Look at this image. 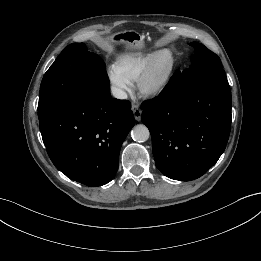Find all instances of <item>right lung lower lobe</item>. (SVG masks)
<instances>
[{
  "label": "right lung lower lobe",
  "mask_w": 261,
  "mask_h": 261,
  "mask_svg": "<svg viewBox=\"0 0 261 261\" xmlns=\"http://www.w3.org/2000/svg\"><path fill=\"white\" fill-rule=\"evenodd\" d=\"M39 117L47 153L67 177L95 187L110 182L134 126L131 104L106 91H79Z\"/></svg>",
  "instance_id": "obj_1"
}]
</instances>
